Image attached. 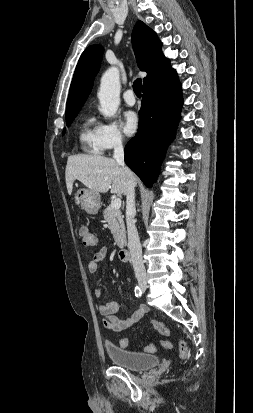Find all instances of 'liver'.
<instances>
[{"label":"liver","mask_w":253,"mask_h":413,"mask_svg":"<svg viewBox=\"0 0 253 413\" xmlns=\"http://www.w3.org/2000/svg\"><path fill=\"white\" fill-rule=\"evenodd\" d=\"M65 179L68 194L71 195L75 180L98 193L126 194L128 180L134 186L137 179L133 172H126L115 159L99 155H76L67 160Z\"/></svg>","instance_id":"liver-1"}]
</instances>
